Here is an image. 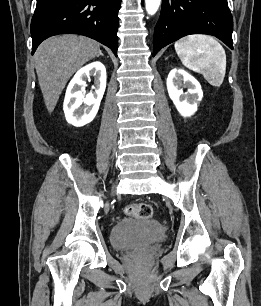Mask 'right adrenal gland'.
I'll return each mask as SVG.
<instances>
[{
  "mask_svg": "<svg viewBox=\"0 0 261 306\" xmlns=\"http://www.w3.org/2000/svg\"><path fill=\"white\" fill-rule=\"evenodd\" d=\"M100 56H104L103 54H102V52L99 54Z\"/></svg>",
  "mask_w": 261,
  "mask_h": 306,
  "instance_id": "right-adrenal-gland-1",
  "label": "right adrenal gland"
}]
</instances>
